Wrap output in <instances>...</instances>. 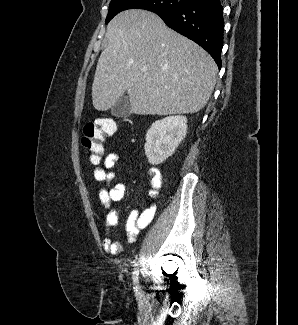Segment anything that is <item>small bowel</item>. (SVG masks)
<instances>
[{"mask_svg": "<svg viewBox=\"0 0 298 325\" xmlns=\"http://www.w3.org/2000/svg\"><path fill=\"white\" fill-rule=\"evenodd\" d=\"M119 161V154L110 153L103 160L100 157L94 163L97 165L94 170V178L99 182L105 183V186L99 192L100 202L107 213L105 223L107 237L103 240V247L112 254L121 253L124 250V245L121 241H114L109 237L111 229L118 221V203L123 199L126 191V186L123 183L110 184L115 177L114 168ZM148 177L150 188L148 190L146 207L142 212L133 209L126 222V236L130 243L136 241L139 232L152 222L156 213V198L162 185V175L158 168L152 167L148 170Z\"/></svg>", "mask_w": 298, "mask_h": 325, "instance_id": "1", "label": "small bowel"}]
</instances>
